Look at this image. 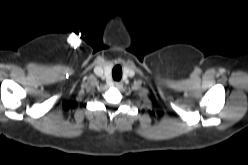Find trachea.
Masks as SVG:
<instances>
[{
    "instance_id": "3493384b",
    "label": "trachea",
    "mask_w": 248,
    "mask_h": 165,
    "mask_svg": "<svg viewBox=\"0 0 248 165\" xmlns=\"http://www.w3.org/2000/svg\"><path fill=\"white\" fill-rule=\"evenodd\" d=\"M112 77L115 81H119L122 78V69L120 65H116L112 70Z\"/></svg>"
}]
</instances>
